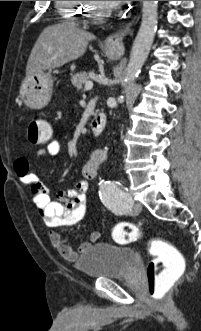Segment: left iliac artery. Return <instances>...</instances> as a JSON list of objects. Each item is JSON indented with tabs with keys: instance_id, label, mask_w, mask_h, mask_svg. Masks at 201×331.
Masks as SVG:
<instances>
[{
	"instance_id": "left-iliac-artery-1",
	"label": "left iliac artery",
	"mask_w": 201,
	"mask_h": 331,
	"mask_svg": "<svg viewBox=\"0 0 201 331\" xmlns=\"http://www.w3.org/2000/svg\"><path fill=\"white\" fill-rule=\"evenodd\" d=\"M99 195L105 206L114 214L122 215L131 210L133 200L119 182L101 181Z\"/></svg>"
}]
</instances>
